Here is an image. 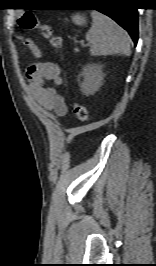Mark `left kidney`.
Segmentation results:
<instances>
[{"label": "left kidney", "mask_w": 156, "mask_h": 266, "mask_svg": "<svg viewBox=\"0 0 156 266\" xmlns=\"http://www.w3.org/2000/svg\"><path fill=\"white\" fill-rule=\"evenodd\" d=\"M82 76L84 80L79 86L85 95L94 94L103 84L104 74L102 73L100 65L91 64L84 67Z\"/></svg>", "instance_id": "1"}]
</instances>
